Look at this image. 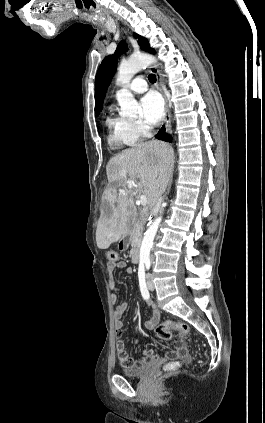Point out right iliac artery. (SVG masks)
Wrapping results in <instances>:
<instances>
[{"instance_id":"right-iliac-artery-1","label":"right iliac artery","mask_w":265,"mask_h":423,"mask_svg":"<svg viewBox=\"0 0 265 423\" xmlns=\"http://www.w3.org/2000/svg\"><path fill=\"white\" fill-rule=\"evenodd\" d=\"M138 277H139V286H140L141 294L145 300H148L150 295H149V291L145 281V271H144L143 265H140L139 267Z\"/></svg>"}]
</instances>
